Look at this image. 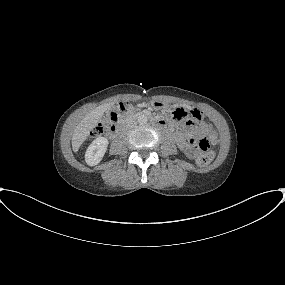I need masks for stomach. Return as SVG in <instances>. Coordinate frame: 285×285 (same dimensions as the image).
Returning <instances> with one entry per match:
<instances>
[{
    "instance_id": "0dacf381",
    "label": "stomach",
    "mask_w": 285,
    "mask_h": 285,
    "mask_svg": "<svg viewBox=\"0 0 285 285\" xmlns=\"http://www.w3.org/2000/svg\"><path fill=\"white\" fill-rule=\"evenodd\" d=\"M152 105H153V107L156 108V109H161V108H165V107H166L165 104L160 103V102H155V103H153Z\"/></svg>"
}]
</instances>
